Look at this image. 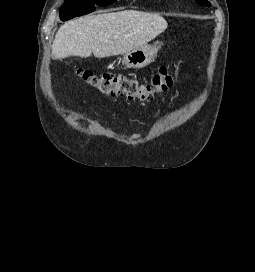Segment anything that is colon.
Returning a JSON list of instances; mask_svg holds the SVG:
<instances>
[{
    "label": "colon",
    "instance_id": "5ec220e1",
    "mask_svg": "<svg viewBox=\"0 0 255 272\" xmlns=\"http://www.w3.org/2000/svg\"><path fill=\"white\" fill-rule=\"evenodd\" d=\"M77 75L92 89L105 96H124L130 100L149 101L157 94L166 92L176 77L167 66H161L150 82L142 83L136 78L114 73H95L80 69Z\"/></svg>",
    "mask_w": 255,
    "mask_h": 272
}]
</instances>
